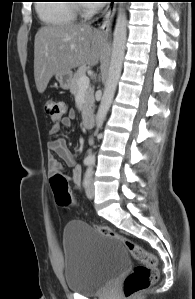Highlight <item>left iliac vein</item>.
Listing matches in <instances>:
<instances>
[{
	"label": "left iliac vein",
	"mask_w": 195,
	"mask_h": 299,
	"mask_svg": "<svg viewBox=\"0 0 195 299\" xmlns=\"http://www.w3.org/2000/svg\"><path fill=\"white\" fill-rule=\"evenodd\" d=\"M86 195L89 199L94 198L95 195V186L92 178L88 179L87 185H86Z\"/></svg>",
	"instance_id": "4c4485c4"
}]
</instances>
